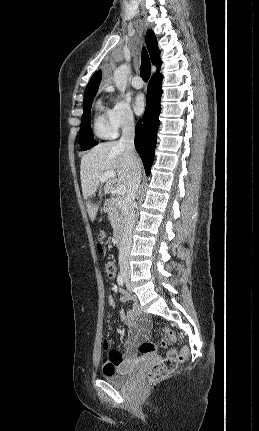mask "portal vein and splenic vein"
Instances as JSON below:
<instances>
[{
	"instance_id": "portal-vein-and-splenic-vein-1",
	"label": "portal vein and splenic vein",
	"mask_w": 259,
	"mask_h": 431,
	"mask_svg": "<svg viewBox=\"0 0 259 431\" xmlns=\"http://www.w3.org/2000/svg\"><path fill=\"white\" fill-rule=\"evenodd\" d=\"M116 173L114 171H107L104 174H102L99 179L101 182H105L107 179L115 178ZM126 187L124 185H118L116 187V193L118 195H124L126 193Z\"/></svg>"
}]
</instances>
